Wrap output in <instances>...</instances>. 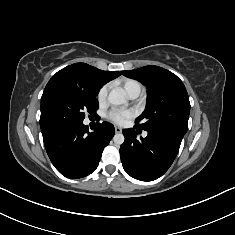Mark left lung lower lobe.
I'll list each match as a JSON object with an SVG mask.
<instances>
[{
    "mask_svg": "<svg viewBox=\"0 0 235 235\" xmlns=\"http://www.w3.org/2000/svg\"><path fill=\"white\" fill-rule=\"evenodd\" d=\"M122 132L125 137L120 146L123 168L128 175L142 181L156 180L169 169L184 136L166 129L147 130V137L137 140L134 129Z\"/></svg>",
    "mask_w": 235,
    "mask_h": 235,
    "instance_id": "obj_1",
    "label": "left lung lower lobe"
}]
</instances>
